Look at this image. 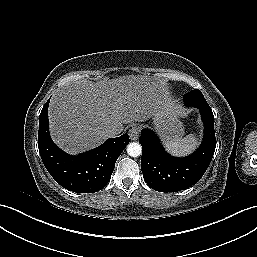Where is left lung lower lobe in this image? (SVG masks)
Wrapping results in <instances>:
<instances>
[{"instance_id":"obj_1","label":"left lung lower lobe","mask_w":257,"mask_h":257,"mask_svg":"<svg viewBox=\"0 0 257 257\" xmlns=\"http://www.w3.org/2000/svg\"><path fill=\"white\" fill-rule=\"evenodd\" d=\"M204 124V136L200 147L190 156H170L158 136L148 130L142 131L141 169L146 183L156 191L176 192L195 185L207 170L216 147L214 115L208 104H198Z\"/></svg>"}]
</instances>
